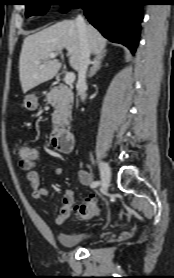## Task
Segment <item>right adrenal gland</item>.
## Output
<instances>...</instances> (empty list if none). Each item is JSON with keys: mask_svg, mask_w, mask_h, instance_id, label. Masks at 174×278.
Here are the masks:
<instances>
[{"mask_svg": "<svg viewBox=\"0 0 174 278\" xmlns=\"http://www.w3.org/2000/svg\"><path fill=\"white\" fill-rule=\"evenodd\" d=\"M105 57V54H98L95 56L93 62H92V67L89 71L88 77H92L95 75V73L102 67L101 63L103 58Z\"/></svg>", "mask_w": 174, "mask_h": 278, "instance_id": "1", "label": "right adrenal gland"}]
</instances>
